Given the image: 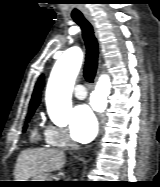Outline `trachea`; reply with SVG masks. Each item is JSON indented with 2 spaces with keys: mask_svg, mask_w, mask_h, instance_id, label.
<instances>
[{
  "mask_svg": "<svg viewBox=\"0 0 160 187\" xmlns=\"http://www.w3.org/2000/svg\"><path fill=\"white\" fill-rule=\"evenodd\" d=\"M73 20L80 26L86 45V58L83 75L87 82L92 83L96 75L98 65V42L94 35L93 26L86 18L73 17Z\"/></svg>",
  "mask_w": 160,
  "mask_h": 187,
  "instance_id": "obj_1",
  "label": "trachea"
}]
</instances>
